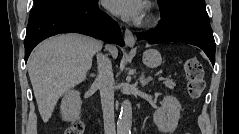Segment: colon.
<instances>
[{
	"label": "colon",
	"instance_id": "obj_1",
	"mask_svg": "<svg viewBox=\"0 0 239 134\" xmlns=\"http://www.w3.org/2000/svg\"><path fill=\"white\" fill-rule=\"evenodd\" d=\"M184 70L187 76V94L190 99H197L203 93L205 82V70L201 62L196 58H188L184 62ZM84 125L81 122L68 127L65 134H82Z\"/></svg>",
	"mask_w": 239,
	"mask_h": 134
}]
</instances>
